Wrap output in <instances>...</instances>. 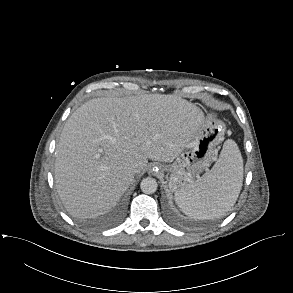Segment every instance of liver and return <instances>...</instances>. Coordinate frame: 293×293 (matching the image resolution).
I'll return each instance as SVG.
<instances>
[{"mask_svg":"<svg viewBox=\"0 0 293 293\" xmlns=\"http://www.w3.org/2000/svg\"><path fill=\"white\" fill-rule=\"evenodd\" d=\"M203 111L177 95L101 97L66 121L56 148L55 183L70 215L90 218L110 211L134 181L128 171L148 159L170 162L196 135Z\"/></svg>","mask_w":293,"mask_h":293,"instance_id":"liver-1","label":"liver"}]
</instances>
